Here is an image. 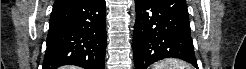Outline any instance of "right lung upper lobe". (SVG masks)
Masks as SVG:
<instances>
[{
	"instance_id": "cb5924a9",
	"label": "right lung upper lobe",
	"mask_w": 246,
	"mask_h": 69,
	"mask_svg": "<svg viewBox=\"0 0 246 69\" xmlns=\"http://www.w3.org/2000/svg\"><path fill=\"white\" fill-rule=\"evenodd\" d=\"M56 1H64V0H56Z\"/></svg>"
}]
</instances>
